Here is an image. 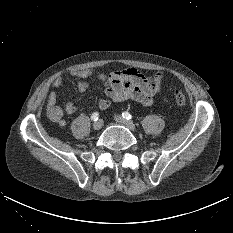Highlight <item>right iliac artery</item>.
Here are the masks:
<instances>
[{
  "label": "right iliac artery",
  "instance_id": "obj_1",
  "mask_svg": "<svg viewBox=\"0 0 233 233\" xmlns=\"http://www.w3.org/2000/svg\"><path fill=\"white\" fill-rule=\"evenodd\" d=\"M99 118V113L98 112H94L91 116V120L92 121H97Z\"/></svg>",
  "mask_w": 233,
  "mask_h": 233
}]
</instances>
